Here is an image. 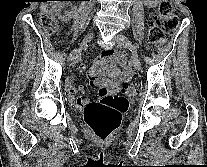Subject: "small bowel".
I'll use <instances>...</instances> for the list:
<instances>
[{
    "instance_id": "c3829d8e",
    "label": "small bowel",
    "mask_w": 207,
    "mask_h": 167,
    "mask_svg": "<svg viewBox=\"0 0 207 167\" xmlns=\"http://www.w3.org/2000/svg\"><path fill=\"white\" fill-rule=\"evenodd\" d=\"M155 0H146V2H154ZM116 54V58H117ZM114 56V53L111 50L105 51L101 58L103 61L106 62L107 70L109 73V79L106 80L103 77L102 71H99L97 74H94L92 72H87L89 76V81L92 86H95L99 90V97L101 98L104 95H107L109 93H114L117 89L118 82H119V71L116 66H114L111 62L112 57ZM124 67H123V72H122V79L127 80L132 77V70L124 64V62H121ZM81 71H85L86 68L84 65L80 66ZM65 89H66V94L67 98L71 103L76 104L79 107H86L88 104L91 103V101L87 98H82V97H76L77 89L73 86L72 79L68 78L65 81Z\"/></svg>"
}]
</instances>
